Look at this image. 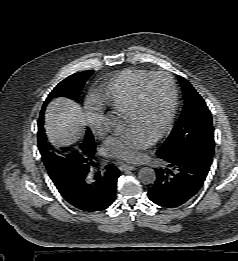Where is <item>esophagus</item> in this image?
I'll list each match as a JSON object with an SVG mask.
<instances>
[{
  "label": "esophagus",
  "instance_id": "1",
  "mask_svg": "<svg viewBox=\"0 0 238 261\" xmlns=\"http://www.w3.org/2000/svg\"><path fill=\"white\" fill-rule=\"evenodd\" d=\"M119 169L121 171H126V170H132L133 171V170H136V167L133 166V165L122 164V165H120Z\"/></svg>",
  "mask_w": 238,
  "mask_h": 261
}]
</instances>
